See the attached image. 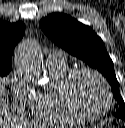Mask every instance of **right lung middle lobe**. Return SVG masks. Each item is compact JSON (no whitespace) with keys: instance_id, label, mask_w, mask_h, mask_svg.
<instances>
[{"instance_id":"obj_1","label":"right lung middle lobe","mask_w":125,"mask_h":128,"mask_svg":"<svg viewBox=\"0 0 125 128\" xmlns=\"http://www.w3.org/2000/svg\"><path fill=\"white\" fill-rule=\"evenodd\" d=\"M11 71L10 63H0V76H6Z\"/></svg>"}]
</instances>
